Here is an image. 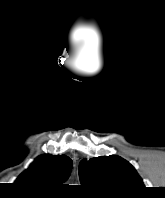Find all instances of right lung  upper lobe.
I'll list each match as a JSON object with an SVG mask.
<instances>
[{"mask_svg":"<svg viewBox=\"0 0 165 198\" xmlns=\"http://www.w3.org/2000/svg\"><path fill=\"white\" fill-rule=\"evenodd\" d=\"M72 160L65 156L41 155L15 181L27 190L45 194L70 175Z\"/></svg>","mask_w":165,"mask_h":198,"instance_id":"right-lung-upper-lobe-1","label":"right lung upper lobe"}]
</instances>
